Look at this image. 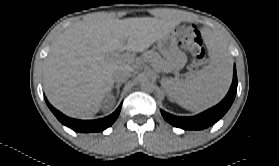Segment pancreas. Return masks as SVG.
<instances>
[{"label": "pancreas", "mask_w": 279, "mask_h": 166, "mask_svg": "<svg viewBox=\"0 0 279 166\" xmlns=\"http://www.w3.org/2000/svg\"><path fill=\"white\" fill-rule=\"evenodd\" d=\"M144 58L146 61H149L152 65H154L158 69H164V63L160 57V55L155 51H148L144 54Z\"/></svg>", "instance_id": "cf45deb5"}]
</instances>
